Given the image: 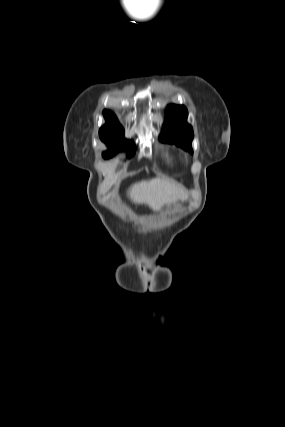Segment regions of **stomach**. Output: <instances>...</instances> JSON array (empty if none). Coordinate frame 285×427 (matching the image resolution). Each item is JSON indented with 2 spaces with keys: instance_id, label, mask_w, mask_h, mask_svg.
<instances>
[{
  "instance_id": "stomach-1",
  "label": "stomach",
  "mask_w": 285,
  "mask_h": 427,
  "mask_svg": "<svg viewBox=\"0 0 285 427\" xmlns=\"http://www.w3.org/2000/svg\"><path fill=\"white\" fill-rule=\"evenodd\" d=\"M177 205H178V206H181L182 204H181V203H178Z\"/></svg>"
}]
</instances>
